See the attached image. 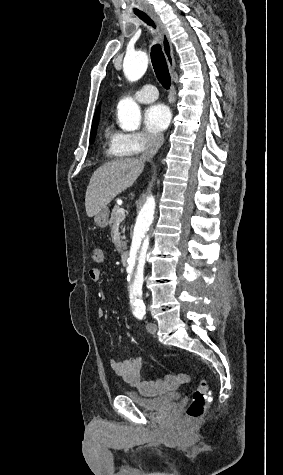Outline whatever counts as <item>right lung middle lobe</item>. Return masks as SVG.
<instances>
[{
  "label": "right lung middle lobe",
  "instance_id": "right-lung-middle-lobe-1",
  "mask_svg": "<svg viewBox=\"0 0 283 475\" xmlns=\"http://www.w3.org/2000/svg\"><path fill=\"white\" fill-rule=\"evenodd\" d=\"M99 115H100V107L98 106L96 111H95V114H94L93 124H92V128H91V136H90V142L91 143H93L94 139H95L97 126H98V122H99Z\"/></svg>",
  "mask_w": 283,
  "mask_h": 475
}]
</instances>
